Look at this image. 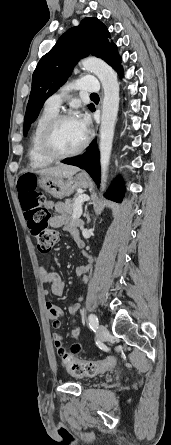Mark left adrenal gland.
Here are the masks:
<instances>
[{
  "instance_id": "1",
  "label": "left adrenal gland",
  "mask_w": 171,
  "mask_h": 445,
  "mask_svg": "<svg viewBox=\"0 0 171 445\" xmlns=\"http://www.w3.org/2000/svg\"><path fill=\"white\" fill-rule=\"evenodd\" d=\"M85 216H86V218H87V224H89V223H90V216H89V213H86V212H85Z\"/></svg>"
}]
</instances>
